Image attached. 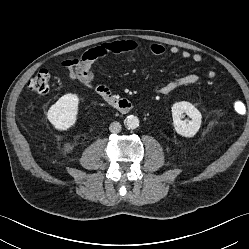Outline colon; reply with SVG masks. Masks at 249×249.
<instances>
[{"mask_svg": "<svg viewBox=\"0 0 249 249\" xmlns=\"http://www.w3.org/2000/svg\"><path fill=\"white\" fill-rule=\"evenodd\" d=\"M50 73L47 70H40L29 82L28 88L37 94H45L49 90ZM233 110L237 114H243L245 105L242 101L236 100L233 103Z\"/></svg>", "mask_w": 249, "mask_h": 249, "instance_id": "obj_1", "label": "colon"}]
</instances>
